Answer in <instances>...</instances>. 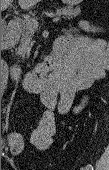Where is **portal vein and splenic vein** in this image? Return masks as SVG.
<instances>
[{
	"label": "portal vein and splenic vein",
	"mask_w": 109,
	"mask_h": 170,
	"mask_svg": "<svg viewBox=\"0 0 109 170\" xmlns=\"http://www.w3.org/2000/svg\"><path fill=\"white\" fill-rule=\"evenodd\" d=\"M7 1H11V0H7ZM51 17L53 18L54 21H58V18L55 17L54 15H51ZM24 22L32 29H37L39 26V22L34 18H26Z\"/></svg>",
	"instance_id": "18ae733b"
}]
</instances>
